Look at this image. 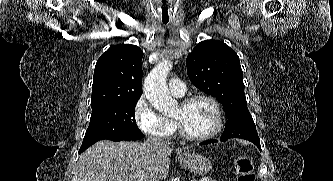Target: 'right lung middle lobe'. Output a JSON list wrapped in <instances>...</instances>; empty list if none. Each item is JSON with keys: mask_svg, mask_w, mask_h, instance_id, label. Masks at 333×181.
<instances>
[{"mask_svg": "<svg viewBox=\"0 0 333 181\" xmlns=\"http://www.w3.org/2000/svg\"><path fill=\"white\" fill-rule=\"evenodd\" d=\"M138 99L123 100L92 108L89 127L82 146L102 139L112 141L136 140L144 137L135 121V106Z\"/></svg>", "mask_w": 333, "mask_h": 181, "instance_id": "dd1d6c3e", "label": "right lung middle lobe"}]
</instances>
